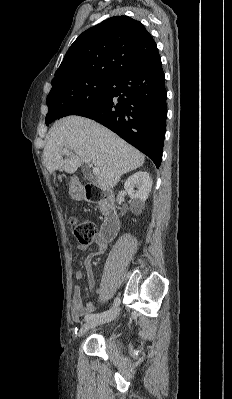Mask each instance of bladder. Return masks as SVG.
I'll list each match as a JSON object with an SVG mask.
<instances>
[{"mask_svg":"<svg viewBox=\"0 0 232 399\" xmlns=\"http://www.w3.org/2000/svg\"><path fill=\"white\" fill-rule=\"evenodd\" d=\"M122 350V345L120 343H115L111 346V351L115 354L120 353Z\"/></svg>","mask_w":232,"mask_h":399,"instance_id":"1","label":"bladder"}]
</instances>
